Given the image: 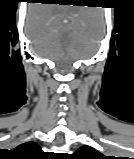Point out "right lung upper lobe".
Instances as JSON below:
<instances>
[{"mask_svg":"<svg viewBox=\"0 0 134 159\" xmlns=\"http://www.w3.org/2000/svg\"><path fill=\"white\" fill-rule=\"evenodd\" d=\"M14 150L23 155V159H34V157L41 153V148L34 142H26Z\"/></svg>","mask_w":134,"mask_h":159,"instance_id":"right-lung-upper-lobe-1","label":"right lung upper lobe"}]
</instances>
